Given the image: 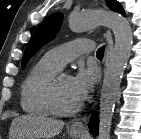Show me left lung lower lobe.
<instances>
[{"instance_id":"0a47b994","label":"left lung lower lobe","mask_w":141,"mask_h":139,"mask_svg":"<svg viewBox=\"0 0 141 139\" xmlns=\"http://www.w3.org/2000/svg\"><path fill=\"white\" fill-rule=\"evenodd\" d=\"M98 118L96 115H93L90 122H89V129L93 135H98Z\"/></svg>"}]
</instances>
